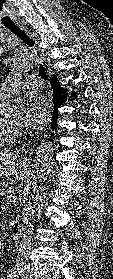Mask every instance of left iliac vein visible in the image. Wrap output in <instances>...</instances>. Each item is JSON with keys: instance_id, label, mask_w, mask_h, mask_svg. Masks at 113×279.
Returning <instances> with one entry per match:
<instances>
[{"instance_id": "obj_1", "label": "left iliac vein", "mask_w": 113, "mask_h": 279, "mask_svg": "<svg viewBox=\"0 0 113 279\" xmlns=\"http://www.w3.org/2000/svg\"><path fill=\"white\" fill-rule=\"evenodd\" d=\"M23 279H33L31 272H28L25 276H23Z\"/></svg>"}]
</instances>
